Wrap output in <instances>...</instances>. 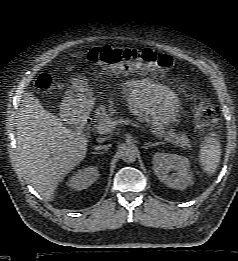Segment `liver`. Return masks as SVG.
I'll list each match as a JSON object with an SVG mask.
<instances>
[{"label": "liver", "instance_id": "1", "mask_svg": "<svg viewBox=\"0 0 238 261\" xmlns=\"http://www.w3.org/2000/svg\"><path fill=\"white\" fill-rule=\"evenodd\" d=\"M16 130L25 177L41 196L53 200L58 184L86 157L87 137L65 127L31 92L23 95Z\"/></svg>", "mask_w": 238, "mask_h": 261}]
</instances>
